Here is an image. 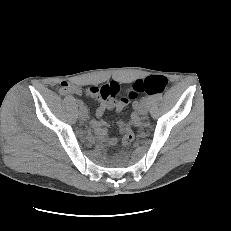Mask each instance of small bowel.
Here are the masks:
<instances>
[{
    "mask_svg": "<svg viewBox=\"0 0 231 231\" xmlns=\"http://www.w3.org/2000/svg\"><path fill=\"white\" fill-rule=\"evenodd\" d=\"M85 92L89 95H92L99 99L100 104L95 112V118L92 119L91 125L94 129L96 135L102 141L108 144H115L116 139L111 138L108 136V129L106 127V123L102 120V116L106 110H116L117 112H121L128 104V98H120L115 99L113 97H103L102 90L103 86L91 85L87 86ZM82 90L77 87L76 85L69 83V82H62L61 83V93L63 94H78ZM133 120L137 121L138 116L137 114L133 115Z\"/></svg>",
    "mask_w": 231,
    "mask_h": 231,
    "instance_id": "obj_1",
    "label": "small bowel"
}]
</instances>
